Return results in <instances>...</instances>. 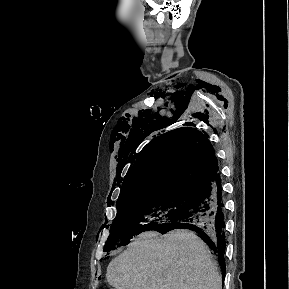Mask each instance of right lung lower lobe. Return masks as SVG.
<instances>
[{"mask_svg": "<svg viewBox=\"0 0 289 289\" xmlns=\"http://www.w3.org/2000/svg\"><path fill=\"white\" fill-rule=\"evenodd\" d=\"M224 201L221 189V180L196 193V198L190 209L178 216L156 231L164 234L173 229H189L196 232L199 237L218 256V262L226 272L224 259L225 231H224Z\"/></svg>", "mask_w": 289, "mask_h": 289, "instance_id": "right-lung-lower-lobe-1", "label": "right lung lower lobe"}]
</instances>
